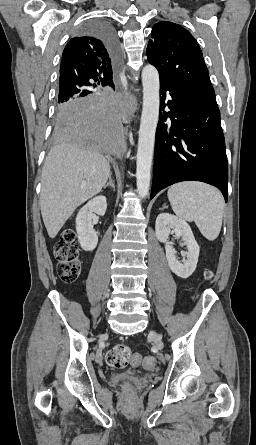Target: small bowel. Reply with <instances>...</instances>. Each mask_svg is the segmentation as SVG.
Wrapping results in <instances>:
<instances>
[{"instance_id":"small-bowel-1","label":"small bowel","mask_w":256,"mask_h":445,"mask_svg":"<svg viewBox=\"0 0 256 445\" xmlns=\"http://www.w3.org/2000/svg\"><path fill=\"white\" fill-rule=\"evenodd\" d=\"M145 367H146L147 369H152V368H153V366H152V367H149V366H147V364H145Z\"/></svg>"}]
</instances>
